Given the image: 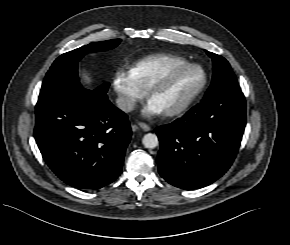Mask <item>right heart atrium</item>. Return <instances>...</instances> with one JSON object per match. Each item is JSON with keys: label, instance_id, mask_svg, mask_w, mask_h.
<instances>
[{"label": "right heart atrium", "instance_id": "1", "mask_svg": "<svg viewBox=\"0 0 290 245\" xmlns=\"http://www.w3.org/2000/svg\"><path fill=\"white\" fill-rule=\"evenodd\" d=\"M112 85L117 95L118 106L124 112L134 110L146 93V90L136 82L131 70L124 68L115 72Z\"/></svg>", "mask_w": 290, "mask_h": 245}]
</instances>
